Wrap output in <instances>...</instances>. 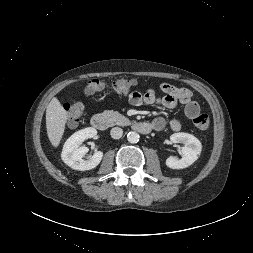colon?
<instances>
[{"mask_svg": "<svg viewBox=\"0 0 253 253\" xmlns=\"http://www.w3.org/2000/svg\"><path fill=\"white\" fill-rule=\"evenodd\" d=\"M135 81L133 79H119L107 85L105 81L97 78L90 79L86 85L85 92L87 94H94L101 92L107 87L118 94L127 93L133 86ZM64 109L67 113L68 124L76 125L84 113V106L80 102L66 103ZM195 126L200 130H206L209 127L210 120L207 114H200L194 118Z\"/></svg>", "mask_w": 253, "mask_h": 253, "instance_id": "1", "label": "colon"}]
</instances>
